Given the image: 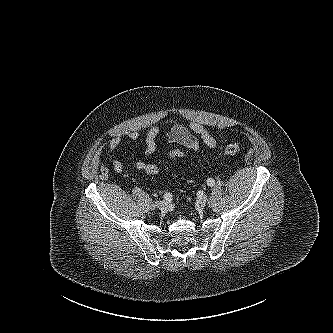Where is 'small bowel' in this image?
<instances>
[{"label": "small bowel", "instance_id": "c3829d8e", "mask_svg": "<svg viewBox=\"0 0 333 333\" xmlns=\"http://www.w3.org/2000/svg\"><path fill=\"white\" fill-rule=\"evenodd\" d=\"M163 132L166 140L169 143H177L190 149L194 152L200 150L201 141L209 148L214 149L217 147L219 141L225 139L223 133L219 130L217 138L214 137L201 123L192 121L188 126L182 124H175L170 129H163L159 125L153 124L149 127L145 137V155L151 156L156 150V140ZM139 138V133L134 131L128 135L129 142H136ZM122 144V138L119 135L110 138L108 143V156L112 162L113 169L116 173L123 171V164L115 158L114 153ZM146 163L142 160L134 162V167L137 170L145 171Z\"/></svg>", "mask_w": 333, "mask_h": 333}]
</instances>
